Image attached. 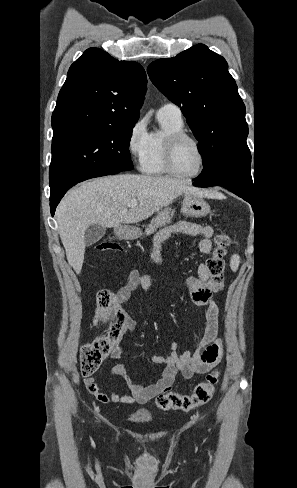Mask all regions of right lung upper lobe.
Listing matches in <instances>:
<instances>
[{"label":"right lung upper lobe","instance_id":"cb5924a9","mask_svg":"<svg viewBox=\"0 0 297 488\" xmlns=\"http://www.w3.org/2000/svg\"><path fill=\"white\" fill-rule=\"evenodd\" d=\"M145 91L146 75L140 64L89 48L68 71L52 114L53 132L135 125Z\"/></svg>","mask_w":297,"mask_h":488}]
</instances>
